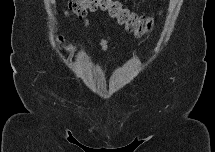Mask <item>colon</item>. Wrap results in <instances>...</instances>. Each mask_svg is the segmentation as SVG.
Here are the masks:
<instances>
[{"mask_svg": "<svg viewBox=\"0 0 215 152\" xmlns=\"http://www.w3.org/2000/svg\"><path fill=\"white\" fill-rule=\"evenodd\" d=\"M68 11L76 16H83L88 11L106 12L136 36L149 33L154 25L151 17L137 15L115 0H76L70 3ZM64 48L70 55L75 52L71 45H65Z\"/></svg>", "mask_w": 215, "mask_h": 152, "instance_id": "1", "label": "colon"}]
</instances>
